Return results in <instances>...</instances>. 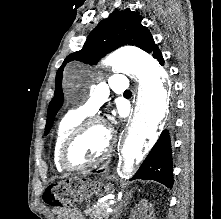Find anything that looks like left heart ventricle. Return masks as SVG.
<instances>
[{
	"label": "left heart ventricle",
	"mask_w": 221,
	"mask_h": 219,
	"mask_svg": "<svg viewBox=\"0 0 221 219\" xmlns=\"http://www.w3.org/2000/svg\"><path fill=\"white\" fill-rule=\"evenodd\" d=\"M108 142L106 130L100 125L86 128L73 144L69 157L74 164L88 163L99 157Z\"/></svg>",
	"instance_id": "1"
}]
</instances>
